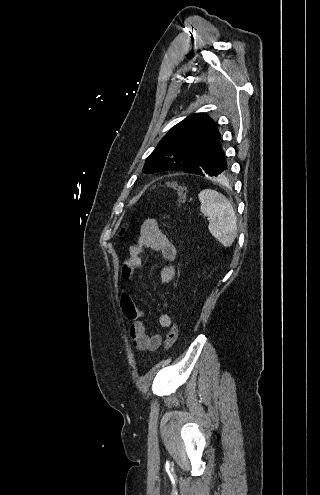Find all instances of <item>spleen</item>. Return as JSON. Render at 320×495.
<instances>
[{
    "label": "spleen",
    "instance_id": "spleen-1",
    "mask_svg": "<svg viewBox=\"0 0 320 495\" xmlns=\"http://www.w3.org/2000/svg\"><path fill=\"white\" fill-rule=\"evenodd\" d=\"M201 213L209 218L208 229L224 247H230L237 236V218L229 200L221 193L204 189L198 195Z\"/></svg>",
    "mask_w": 320,
    "mask_h": 495
}]
</instances>
